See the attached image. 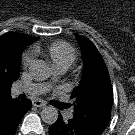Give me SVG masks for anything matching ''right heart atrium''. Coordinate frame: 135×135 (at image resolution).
I'll list each match as a JSON object with an SVG mask.
<instances>
[{
	"label": "right heart atrium",
	"mask_w": 135,
	"mask_h": 135,
	"mask_svg": "<svg viewBox=\"0 0 135 135\" xmlns=\"http://www.w3.org/2000/svg\"><path fill=\"white\" fill-rule=\"evenodd\" d=\"M32 61H33V54H32V52L27 51V52H25L22 55V65L24 67L30 66V64L32 63Z\"/></svg>",
	"instance_id": "d8ad5b80"
}]
</instances>
